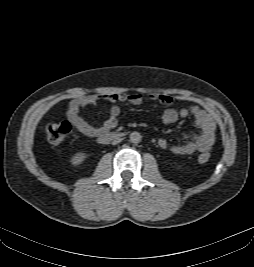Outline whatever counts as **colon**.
<instances>
[{"instance_id": "1", "label": "colon", "mask_w": 254, "mask_h": 267, "mask_svg": "<svg viewBox=\"0 0 254 267\" xmlns=\"http://www.w3.org/2000/svg\"><path fill=\"white\" fill-rule=\"evenodd\" d=\"M71 132V125L67 121L50 123L46 126V137L49 142L59 144L63 142ZM210 159L209 152H203L198 156L200 163H206Z\"/></svg>"}]
</instances>
